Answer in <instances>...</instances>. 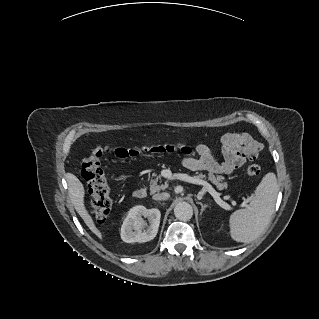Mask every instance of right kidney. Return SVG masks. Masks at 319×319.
Returning a JSON list of instances; mask_svg holds the SVG:
<instances>
[{
	"mask_svg": "<svg viewBox=\"0 0 319 319\" xmlns=\"http://www.w3.org/2000/svg\"><path fill=\"white\" fill-rule=\"evenodd\" d=\"M148 218L149 225L143 220ZM161 213L157 208L147 209L139 205L131 208L121 226L124 242H147L155 238L160 224Z\"/></svg>",
	"mask_w": 319,
	"mask_h": 319,
	"instance_id": "ca27d5eb",
	"label": "right kidney"
}]
</instances>
